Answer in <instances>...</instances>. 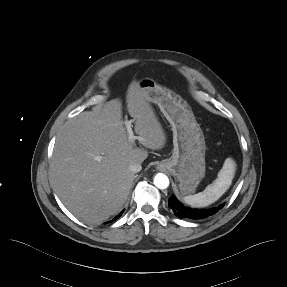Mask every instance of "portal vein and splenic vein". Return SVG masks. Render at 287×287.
<instances>
[{
	"label": "portal vein and splenic vein",
	"instance_id": "18ae733b",
	"mask_svg": "<svg viewBox=\"0 0 287 287\" xmlns=\"http://www.w3.org/2000/svg\"><path fill=\"white\" fill-rule=\"evenodd\" d=\"M125 126L127 129V133H128V138L130 142H134L137 139V136L134 135L133 130H132V124L131 121H125Z\"/></svg>",
	"mask_w": 287,
	"mask_h": 287
}]
</instances>
